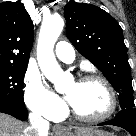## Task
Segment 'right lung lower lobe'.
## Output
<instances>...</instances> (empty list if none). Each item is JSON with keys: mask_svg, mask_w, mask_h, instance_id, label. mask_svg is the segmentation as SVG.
<instances>
[{"mask_svg": "<svg viewBox=\"0 0 136 136\" xmlns=\"http://www.w3.org/2000/svg\"><path fill=\"white\" fill-rule=\"evenodd\" d=\"M0 112L9 114L17 119L25 121L27 119V109L25 107L4 105L0 106Z\"/></svg>", "mask_w": 136, "mask_h": 136, "instance_id": "obj_1", "label": "right lung lower lobe"}]
</instances>
